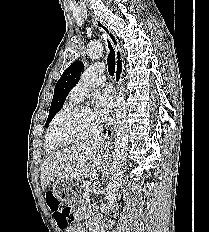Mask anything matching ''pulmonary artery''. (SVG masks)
I'll return each mask as SVG.
<instances>
[{
	"label": "pulmonary artery",
	"instance_id": "pulmonary-artery-1",
	"mask_svg": "<svg viewBox=\"0 0 209 232\" xmlns=\"http://www.w3.org/2000/svg\"><path fill=\"white\" fill-rule=\"evenodd\" d=\"M105 66L103 63H95L90 65L81 75L79 82L70 92V98L80 101L89 90L100 85L106 79L103 74Z\"/></svg>",
	"mask_w": 209,
	"mask_h": 232
}]
</instances>
